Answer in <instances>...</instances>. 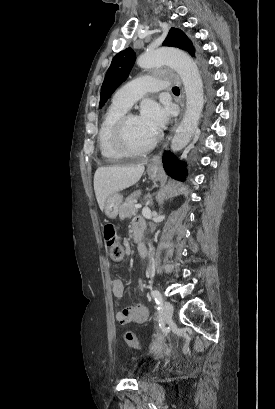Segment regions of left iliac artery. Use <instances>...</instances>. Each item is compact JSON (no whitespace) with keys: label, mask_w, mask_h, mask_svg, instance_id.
I'll return each mask as SVG.
<instances>
[{"label":"left iliac artery","mask_w":275,"mask_h":409,"mask_svg":"<svg viewBox=\"0 0 275 409\" xmlns=\"http://www.w3.org/2000/svg\"><path fill=\"white\" fill-rule=\"evenodd\" d=\"M151 296L154 298V300H155V302L157 304V310L161 311L162 310V305H163V300H162L161 293L158 290L153 289V290H151Z\"/></svg>","instance_id":"left-iliac-artery-1"}]
</instances>
